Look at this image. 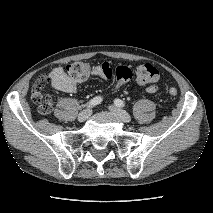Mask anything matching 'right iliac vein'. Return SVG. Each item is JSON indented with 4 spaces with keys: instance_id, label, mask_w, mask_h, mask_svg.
I'll list each match as a JSON object with an SVG mask.
<instances>
[{
    "instance_id": "63e3f726",
    "label": "right iliac vein",
    "mask_w": 213,
    "mask_h": 213,
    "mask_svg": "<svg viewBox=\"0 0 213 213\" xmlns=\"http://www.w3.org/2000/svg\"><path fill=\"white\" fill-rule=\"evenodd\" d=\"M90 115H91L90 109L83 110L78 114V121L84 122L89 118Z\"/></svg>"
}]
</instances>
